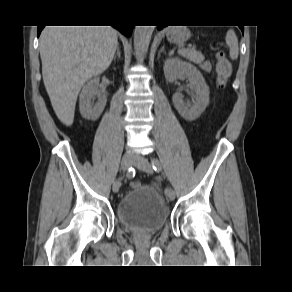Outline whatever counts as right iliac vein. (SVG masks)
Returning <instances> with one entry per match:
<instances>
[{
	"mask_svg": "<svg viewBox=\"0 0 292 292\" xmlns=\"http://www.w3.org/2000/svg\"><path fill=\"white\" fill-rule=\"evenodd\" d=\"M132 162H133V157L129 154H125L123 155L122 157V160H121V168L122 170H127L131 167L132 165ZM119 188H120V185H118V182L115 181L113 183V186H112V190L113 192H118L119 191Z\"/></svg>",
	"mask_w": 292,
	"mask_h": 292,
	"instance_id": "63e3f726",
	"label": "right iliac vein"
}]
</instances>
